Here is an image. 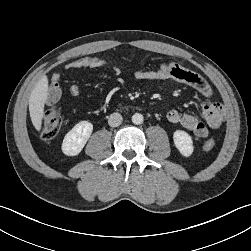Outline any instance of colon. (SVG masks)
Returning a JSON list of instances; mask_svg holds the SVG:
<instances>
[{
  "mask_svg": "<svg viewBox=\"0 0 251 251\" xmlns=\"http://www.w3.org/2000/svg\"><path fill=\"white\" fill-rule=\"evenodd\" d=\"M62 126L61 113L56 109L47 111L42 119L40 126V136L45 140L53 139L57 136ZM215 142L213 140H207L203 144V149L209 151L213 149Z\"/></svg>",
  "mask_w": 251,
  "mask_h": 251,
  "instance_id": "1",
  "label": "colon"
}]
</instances>
